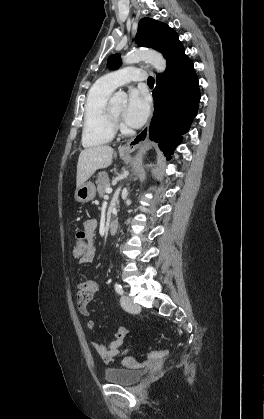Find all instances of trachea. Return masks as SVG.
Instances as JSON below:
<instances>
[{"label":"trachea","instance_id":"3493384b","mask_svg":"<svg viewBox=\"0 0 264 419\" xmlns=\"http://www.w3.org/2000/svg\"><path fill=\"white\" fill-rule=\"evenodd\" d=\"M154 82H155L154 78L152 76H149V78L147 80V83L148 84H154Z\"/></svg>","mask_w":264,"mask_h":419}]
</instances>
